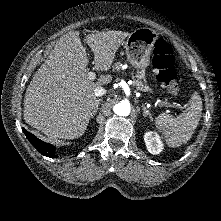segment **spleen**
Instances as JSON below:
<instances>
[{
  "instance_id": "1",
  "label": "spleen",
  "mask_w": 221,
  "mask_h": 221,
  "mask_svg": "<svg viewBox=\"0 0 221 221\" xmlns=\"http://www.w3.org/2000/svg\"><path fill=\"white\" fill-rule=\"evenodd\" d=\"M202 114V100L195 91L185 112L177 117L162 113L155 119L156 128L164 136L170 147H179L190 140L198 126Z\"/></svg>"
}]
</instances>
